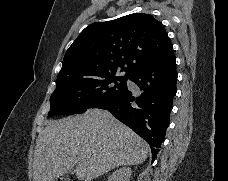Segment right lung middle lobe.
<instances>
[{
	"mask_svg": "<svg viewBox=\"0 0 228 181\" xmlns=\"http://www.w3.org/2000/svg\"><path fill=\"white\" fill-rule=\"evenodd\" d=\"M129 77L106 75L57 86L50 98L51 110L48 115H73L83 113L88 108L102 109L123 96Z\"/></svg>",
	"mask_w": 228,
	"mask_h": 181,
	"instance_id": "dd1d6c3e",
	"label": "right lung middle lobe"
}]
</instances>
